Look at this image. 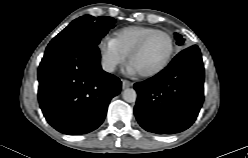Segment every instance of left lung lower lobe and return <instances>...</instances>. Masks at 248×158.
<instances>
[{
  "instance_id": "0a47b994",
  "label": "left lung lower lobe",
  "mask_w": 248,
  "mask_h": 158,
  "mask_svg": "<svg viewBox=\"0 0 248 158\" xmlns=\"http://www.w3.org/2000/svg\"><path fill=\"white\" fill-rule=\"evenodd\" d=\"M204 67L199 48L181 51L157 75L134 84V114L147 131L173 134L195 121L203 103Z\"/></svg>"
}]
</instances>
